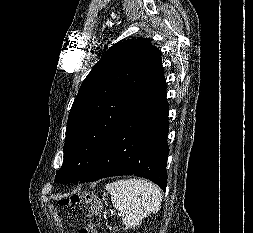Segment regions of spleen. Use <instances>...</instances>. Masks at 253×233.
I'll return each instance as SVG.
<instances>
[{
  "mask_svg": "<svg viewBox=\"0 0 253 233\" xmlns=\"http://www.w3.org/2000/svg\"><path fill=\"white\" fill-rule=\"evenodd\" d=\"M105 188L111 194L114 208L125 213L122 222L127 228L139 226L144 218L159 210L162 202L159 188L142 179L118 180Z\"/></svg>",
  "mask_w": 253,
  "mask_h": 233,
  "instance_id": "obj_1",
  "label": "spleen"
}]
</instances>
